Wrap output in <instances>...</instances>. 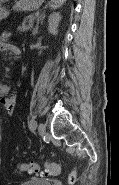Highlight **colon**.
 <instances>
[{
	"mask_svg": "<svg viewBox=\"0 0 119 185\" xmlns=\"http://www.w3.org/2000/svg\"><path fill=\"white\" fill-rule=\"evenodd\" d=\"M18 169L22 172H28L30 174H40L44 176H57L62 172L61 165L56 162H48L44 165H40L34 161L22 162L18 165ZM76 179L77 171L74 170L69 175V183L74 184Z\"/></svg>",
	"mask_w": 119,
	"mask_h": 185,
	"instance_id": "5ec220e1",
	"label": "colon"
}]
</instances>
